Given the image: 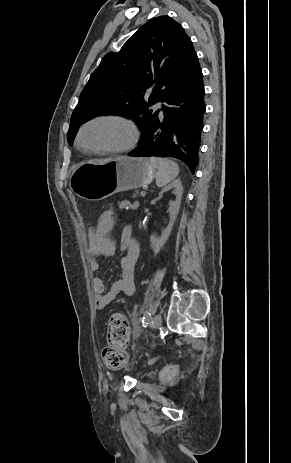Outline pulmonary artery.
<instances>
[{"mask_svg": "<svg viewBox=\"0 0 291 463\" xmlns=\"http://www.w3.org/2000/svg\"><path fill=\"white\" fill-rule=\"evenodd\" d=\"M154 110H159L160 112L162 111L161 110V102H157L154 106H153Z\"/></svg>", "mask_w": 291, "mask_h": 463, "instance_id": "1", "label": "pulmonary artery"}]
</instances>
